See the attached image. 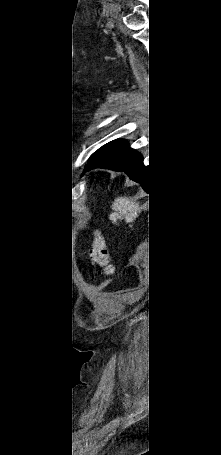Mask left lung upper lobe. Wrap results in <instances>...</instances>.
<instances>
[{
    "mask_svg": "<svg viewBox=\"0 0 221 455\" xmlns=\"http://www.w3.org/2000/svg\"><path fill=\"white\" fill-rule=\"evenodd\" d=\"M107 144H108V143H107ZM107 144H106V145H107ZM106 145L102 146V147H101L100 149H98L95 153H93V154L91 155V157L89 158V160H90L91 158H93L94 156H96V155H97V154H98Z\"/></svg>",
    "mask_w": 221,
    "mask_h": 455,
    "instance_id": "left-lung-upper-lobe-1",
    "label": "left lung upper lobe"
}]
</instances>
